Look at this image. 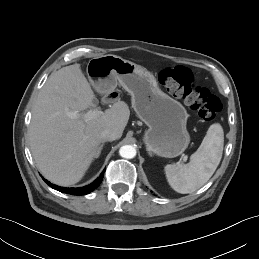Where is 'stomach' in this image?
Listing matches in <instances>:
<instances>
[{"label":"stomach","instance_id":"stomach-1","mask_svg":"<svg viewBox=\"0 0 259 259\" xmlns=\"http://www.w3.org/2000/svg\"><path fill=\"white\" fill-rule=\"evenodd\" d=\"M87 75L100 92H109L120 84L131 95L134 111L148 126L143 141L149 152L173 158L188 147L186 109L159 88L146 68L116 55H104L88 62Z\"/></svg>","mask_w":259,"mask_h":259}]
</instances>
